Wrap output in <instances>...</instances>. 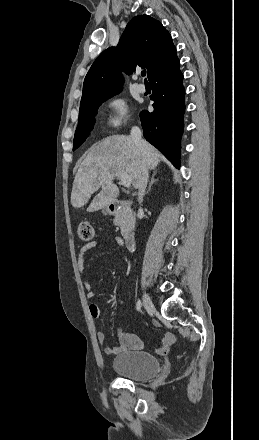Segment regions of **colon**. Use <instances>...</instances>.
<instances>
[{
    "mask_svg": "<svg viewBox=\"0 0 259 440\" xmlns=\"http://www.w3.org/2000/svg\"><path fill=\"white\" fill-rule=\"evenodd\" d=\"M78 237L81 241L89 242L94 238V227L89 222H81L78 226Z\"/></svg>",
    "mask_w": 259,
    "mask_h": 440,
    "instance_id": "1",
    "label": "colon"
}]
</instances>
